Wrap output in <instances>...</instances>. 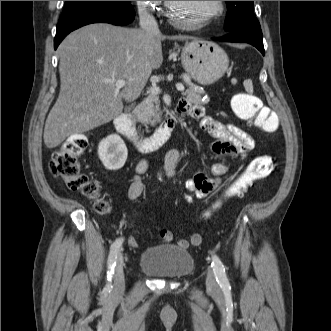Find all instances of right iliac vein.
<instances>
[{"mask_svg": "<svg viewBox=\"0 0 331 331\" xmlns=\"http://www.w3.org/2000/svg\"><path fill=\"white\" fill-rule=\"evenodd\" d=\"M125 286V278H124V261L123 256L119 253L117 261H116V268H115V275H114V291L117 294L123 292Z\"/></svg>", "mask_w": 331, "mask_h": 331, "instance_id": "obj_1", "label": "right iliac vein"}]
</instances>
